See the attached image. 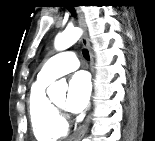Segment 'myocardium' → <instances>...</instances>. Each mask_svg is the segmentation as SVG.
Returning a JSON list of instances; mask_svg holds the SVG:
<instances>
[{"instance_id": "obj_1", "label": "myocardium", "mask_w": 155, "mask_h": 141, "mask_svg": "<svg viewBox=\"0 0 155 141\" xmlns=\"http://www.w3.org/2000/svg\"><path fill=\"white\" fill-rule=\"evenodd\" d=\"M52 103V106L53 108L55 109V111L57 112V115L60 119H62V112H63V108L58 106L55 102H51Z\"/></svg>"}]
</instances>
